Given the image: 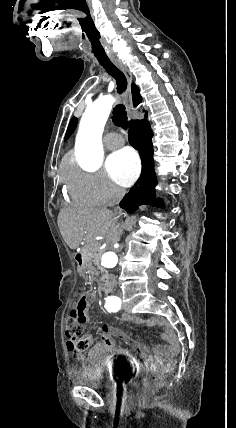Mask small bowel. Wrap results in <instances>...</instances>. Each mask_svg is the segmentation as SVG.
Returning a JSON list of instances; mask_svg holds the SVG:
<instances>
[{
	"instance_id": "small-bowel-1",
	"label": "small bowel",
	"mask_w": 236,
	"mask_h": 428,
	"mask_svg": "<svg viewBox=\"0 0 236 428\" xmlns=\"http://www.w3.org/2000/svg\"><path fill=\"white\" fill-rule=\"evenodd\" d=\"M122 319L125 321L132 322L140 326H159L163 329V339L166 341V345L158 346L152 351H149L143 345L138 344V350L143 358V363L146 367L156 368L161 366L164 361L173 353L177 347V337L174 328L165 318H144L132 316L129 314H123ZM110 334H116L123 336V334L115 329L108 326H103L101 329V340L96 343L89 351L88 357L91 360L111 359L116 355L123 356L127 359L128 363L132 366L140 367L142 362L133 353L126 349L118 348L115 343L111 340ZM77 361H84L85 357L76 352L74 355Z\"/></svg>"
}]
</instances>
